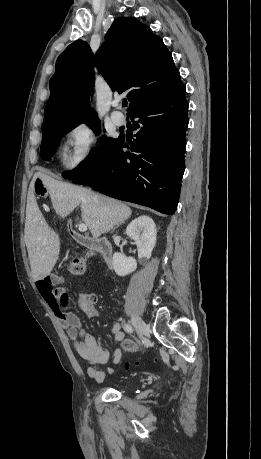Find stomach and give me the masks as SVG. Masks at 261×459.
I'll return each mask as SVG.
<instances>
[{"label":"stomach","mask_w":261,"mask_h":459,"mask_svg":"<svg viewBox=\"0 0 261 459\" xmlns=\"http://www.w3.org/2000/svg\"><path fill=\"white\" fill-rule=\"evenodd\" d=\"M34 194L37 196H46L48 194V190L40 178H36L34 181Z\"/></svg>","instance_id":"obj_1"}]
</instances>
